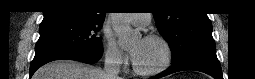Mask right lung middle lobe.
Masks as SVG:
<instances>
[{"label": "right lung middle lobe", "mask_w": 255, "mask_h": 79, "mask_svg": "<svg viewBox=\"0 0 255 79\" xmlns=\"http://www.w3.org/2000/svg\"><path fill=\"white\" fill-rule=\"evenodd\" d=\"M101 25L67 19L42 21L35 52L69 50L100 54L103 52L102 38L97 37L95 32Z\"/></svg>", "instance_id": "1"}]
</instances>
